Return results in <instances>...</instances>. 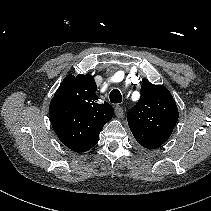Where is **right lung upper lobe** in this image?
I'll return each instance as SVG.
<instances>
[{"instance_id":"obj_1","label":"right lung upper lobe","mask_w":211,"mask_h":211,"mask_svg":"<svg viewBox=\"0 0 211 211\" xmlns=\"http://www.w3.org/2000/svg\"><path fill=\"white\" fill-rule=\"evenodd\" d=\"M96 91L94 78L79 74L76 77L68 75L55 93V98L73 104L72 126L54 131L61 142L75 152H80L113 117V107L107 102L99 104Z\"/></svg>"}]
</instances>
